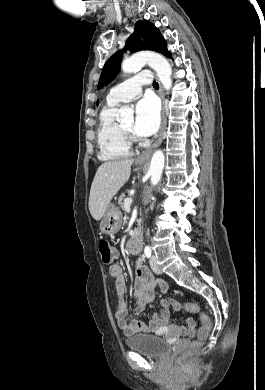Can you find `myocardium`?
Masks as SVG:
<instances>
[{
  "mask_svg": "<svg viewBox=\"0 0 265 390\" xmlns=\"http://www.w3.org/2000/svg\"><path fill=\"white\" fill-rule=\"evenodd\" d=\"M121 130L129 144L137 141V138L134 136L132 131L127 130L125 127H123V125H121Z\"/></svg>",
  "mask_w": 265,
  "mask_h": 390,
  "instance_id": "obj_1",
  "label": "myocardium"
}]
</instances>
